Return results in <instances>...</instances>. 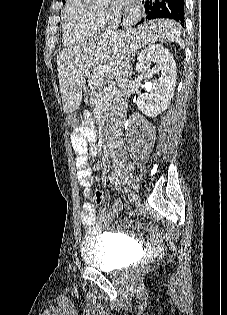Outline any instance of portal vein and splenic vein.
<instances>
[{
    "label": "portal vein and splenic vein",
    "mask_w": 227,
    "mask_h": 315,
    "mask_svg": "<svg viewBox=\"0 0 227 315\" xmlns=\"http://www.w3.org/2000/svg\"><path fill=\"white\" fill-rule=\"evenodd\" d=\"M103 81V79L101 77H99L98 79H96V85H101V82ZM113 91L111 86L106 87L105 89L102 90V92L100 94H98L99 97H107L111 92Z\"/></svg>",
    "instance_id": "18ae733b"
}]
</instances>
